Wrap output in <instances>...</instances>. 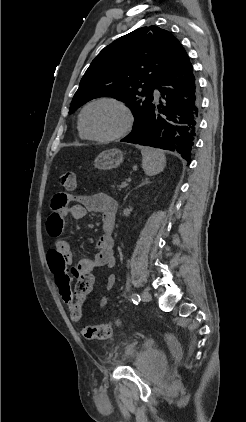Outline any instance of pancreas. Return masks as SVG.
I'll use <instances>...</instances> for the list:
<instances>
[{
    "mask_svg": "<svg viewBox=\"0 0 246 422\" xmlns=\"http://www.w3.org/2000/svg\"><path fill=\"white\" fill-rule=\"evenodd\" d=\"M128 184L126 182L122 183L121 185L117 186L118 188H124L126 187Z\"/></svg>",
    "mask_w": 246,
    "mask_h": 422,
    "instance_id": "1",
    "label": "pancreas"
}]
</instances>
